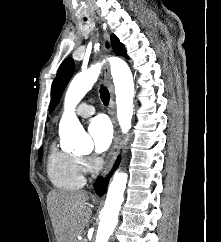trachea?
<instances>
[{"mask_svg":"<svg viewBox=\"0 0 221 242\" xmlns=\"http://www.w3.org/2000/svg\"><path fill=\"white\" fill-rule=\"evenodd\" d=\"M100 98L105 106H108L109 104V99H110V94L108 89L105 86H102L100 88Z\"/></svg>","mask_w":221,"mask_h":242,"instance_id":"trachea-1","label":"trachea"}]
</instances>
